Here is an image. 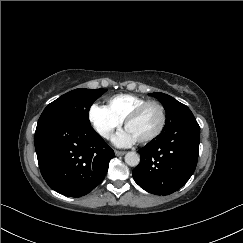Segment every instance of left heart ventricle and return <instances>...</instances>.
Wrapping results in <instances>:
<instances>
[{
	"label": "left heart ventricle",
	"instance_id": "1",
	"mask_svg": "<svg viewBox=\"0 0 243 243\" xmlns=\"http://www.w3.org/2000/svg\"><path fill=\"white\" fill-rule=\"evenodd\" d=\"M160 122L161 112L157 106L153 105L146 108L136 120L127 126V129L138 141L155 132Z\"/></svg>",
	"mask_w": 243,
	"mask_h": 243
}]
</instances>
